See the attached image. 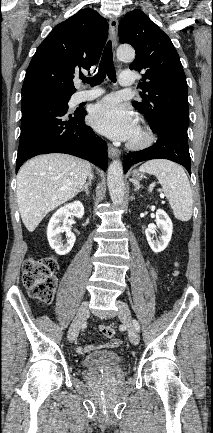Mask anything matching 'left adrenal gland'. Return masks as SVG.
<instances>
[{
    "mask_svg": "<svg viewBox=\"0 0 213 433\" xmlns=\"http://www.w3.org/2000/svg\"><path fill=\"white\" fill-rule=\"evenodd\" d=\"M134 186H135V189H134L135 192L141 188V186L139 184H136V183L134 184Z\"/></svg>",
    "mask_w": 213,
    "mask_h": 433,
    "instance_id": "obj_1",
    "label": "left adrenal gland"
}]
</instances>
